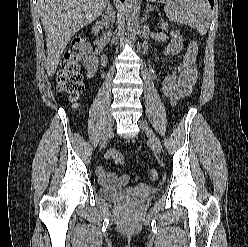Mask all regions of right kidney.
Returning a JSON list of instances; mask_svg holds the SVG:
<instances>
[{
	"label": "right kidney",
	"mask_w": 248,
	"mask_h": 247,
	"mask_svg": "<svg viewBox=\"0 0 248 247\" xmlns=\"http://www.w3.org/2000/svg\"><path fill=\"white\" fill-rule=\"evenodd\" d=\"M80 54L83 57V61L87 69V78H93L97 72L98 68V59L92 51L90 44H85L81 47Z\"/></svg>",
	"instance_id": "obj_1"
}]
</instances>
